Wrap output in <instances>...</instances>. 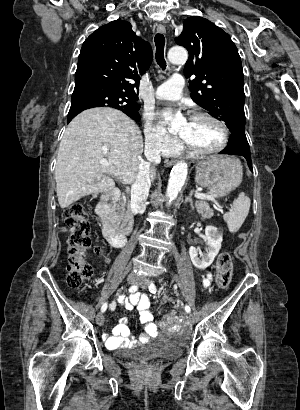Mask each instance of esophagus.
<instances>
[{
  "instance_id": "esophagus-1",
  "label": "esophagus",
  "mask_w": 300,
  "mask_h": 410,
  "mask_svg": "<svg viewBox=\"0 0 300 410\" xmlns=\"http://www.w3.org/2000/svg\"><path fill=\"white\" fill-rule=\"evenodd\" d=\"M156 31L158 33H166V28L163 25H157ZM174 162H175L174 160H168V159L165 160V164L167 166H172L174 164Z\"/></svg>"
}]
</instances>
